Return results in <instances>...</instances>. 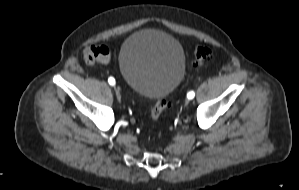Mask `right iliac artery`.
Returning <instances> with one entry per match:
<instances>
[{
    "label": "right iliac artery",
    "instance_id": "82829eb1",
    "mask_svg": "<svg viewBox=\"0 0 299 190\" xmlns=\"http://www.w3.org/2000/svg\"><path fill=\"white\" fill-rule=\"evenodd\" d=\"M108 82L110 85L114 86L115 85V79L113 77H109Z\"/></svg>",
    "mask_w": 299,
    "mask_h": 190
}]
</instances>
